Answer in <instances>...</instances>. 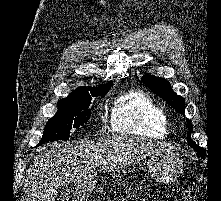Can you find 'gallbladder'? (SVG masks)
Returning <instances> with one entry per match:
<instances>
[{
	"label": "gallbladder",
	"instance_id": "obj_1",
	"mask_svg": "<svg viewBox=\"0 0 221 201\" xmlns=\"http://www.w3.org/2000/svg\"><path fill=\"white\" fill-rule=\"evenodd\" d=\"M73 194V186L70 184H65L58 189L56 198L60 201H68L70 198H72Z\"/></svg>",
	"mask_w": 221,
	"mask_h": 201
}]
</instances>
